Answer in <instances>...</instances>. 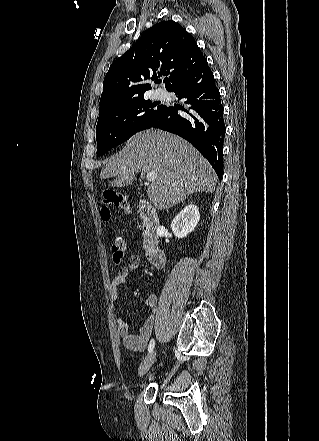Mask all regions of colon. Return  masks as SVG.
I'll use <instances>...</instances> for the list:
<instances>
[{
    "label": "colon",
    "instance_id": "1",
    "mask_svg": "<svg viewBox=\"0 0 319 441\" xmlns=\"http://www.w3.org/2000/svg\"><path fill=\"white\" fill-rule=\"evenodd\" d=\"M104 206L101 210V217L104 221H108L111 218V209L110 206H117L119 208H123L127 211L130 210V205L127 199L115 191H106L104 193ZM112 253L116 259L119 261L127 250V243L123 235L120 233H116L113 236L112 244H111Z\"/></svg>",
    "mask_w": 319,
    "mask_h": 441
}]
</instances>
